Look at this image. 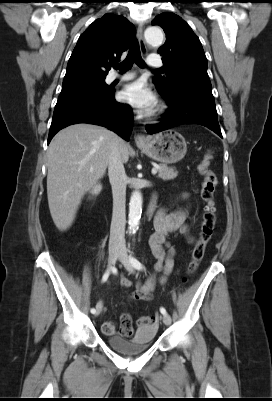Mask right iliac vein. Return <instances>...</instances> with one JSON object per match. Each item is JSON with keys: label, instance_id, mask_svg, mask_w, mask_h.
Masks as SVG:
<instances>
[{"label": "right iliac vein", "instance_id": "right-iliac-vein-1", "mask_svg": "<svg viewBox=\"0 0 272 401\" xmlns=\"http://www.w3.org/2000/svg\"><path fill=\"white\" fill-rule=\"evenodd\" d=\"M119 253H120V251H119V247L118 246L110 247L109 253H108V267H109V269H111L115 265L116 260L119 257ZM96 309L97 310H96L95 314L98 315L101 310L98 308V306H96Z\"/></svg>", "mask_w": 272, "mask_h": 401}]
</instances>
